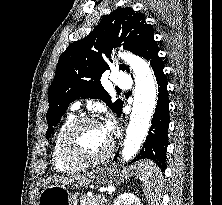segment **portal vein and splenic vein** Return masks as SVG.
Segmentation results:
<instances>
[{"instance_id":"18ae733b","label":"portal vein and splenic vein","mask_w":222,"mask_h":205,"mask_svg":"<svg viewBox=\"0 0 222 205\" xmlns=\"http://www.w3.org/2000/svg\"><path fill=\"white\" fill-rule=\"evenodd\" d=\"M89 196H92V193L88 194Z\"/></svg>"}]
</instances>
